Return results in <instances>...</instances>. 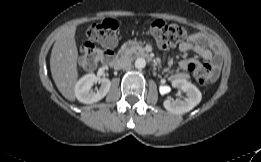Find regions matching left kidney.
Returning <instances> with one entry per match:
<instances>
[{
	"mask_svg": "<svg viewBox=\"0 0 261 162\" xmlns=\"http://www.w3.org/2000/svg\"><path fill=\"white\" fill-rule=\"evenodd\" d=\"M172 86L185 92L187 97L183 98V100L167 98L163 102V106L170 113L183 114L189 112L200 103L202 94L191 82H188L186 79H175L172 81Z\"/></svg>",
	"mask_w": 261,
	"mask_h": 162,
	"instance_id": "left-kidney-1",
	"label": "left kidney"
}]
</instances>
